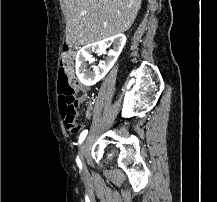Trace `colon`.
Returning <instances> with one entry per match:
<instances>
[{"label": "colon", "instance_id": "obj_1", "mask_svg": "<svg viewBox=\"0 0 217 202\" xmlns=\"http://www.w3.org/2000/svg\"><path fill=\"white\" fill-rule=\"evenodd\" d=\"M75 52L77 47H64L63 48V59L60 60L61 67L58 68V91L57 96L59 102H62L60 117H66L63 120V125L73 133L80 131L82 124L78 120L79 111L78 106L75 102L74 96L75 91H79V86H74V73L76 72V63L74 60ZM80 103H85V98L79 99Z\"/></svg>", "mask_w": 217, "mask_h": 202}]
</instances>
